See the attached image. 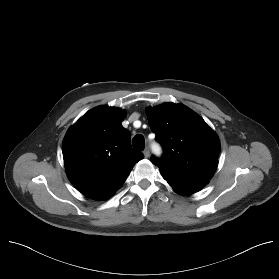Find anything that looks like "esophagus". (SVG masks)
<instances>
[{
	"label": "esophagus",
	"instance_id": "1",
	"mask_svg": "<svg viewBox=\"0 0 279 279\" xmlns=\"http://www.w3.org/2000/svg\"><path fill=\"white\" fill-rule=\"evenodd\" d=\"M145 158H148L150 156V151L148 148H145V150L143 151Z\"/></svg>",
	"mask_w": 279,
	"mask_h": 279
}]
</instances>
